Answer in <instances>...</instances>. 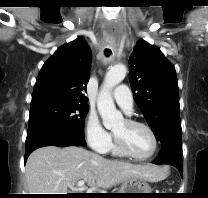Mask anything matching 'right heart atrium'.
I'll list each match as a JSON object with an SVG mask.
<instances>
[{"instance_id": "d8ad5b80", "label": "right heart atrium", "mask_w": 208, "mask_h": 198, "mask_svg": "<svg viewBox=\"0 0 208 198\" xmlns=\"http://www.w3.org/2000/svg\"><path fill=\"white\" fill-rule=\"evenodd\" d=\"M85 137L94 151L104 154L109 150L111 135L102 127L95 114L90 113L86 118Z\"/></svg>"}]
</instances>
